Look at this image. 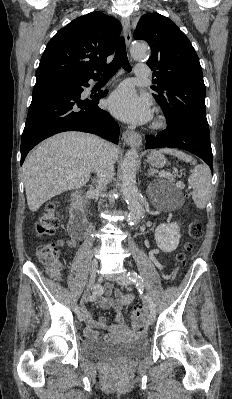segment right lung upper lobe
I'll list each match as a JSON object with an SVG mask.
<instances>
[{
	"label": "right lung upper lobe",
	"mask_w": 232,
	"mask_h": 399,
	"mask_svg": "<svg viewBox=\"0 0 232 399\" xmlns=\"http://www.w3.org/2000/svg\"><path fill=\"white\" fill-rule=\"evenodd\" d=\"M120 32V22L101 12L76 18L48 42L36 78L100 75Z\"/></svg>",
	"instance_id": "1"
}]
</instances>
